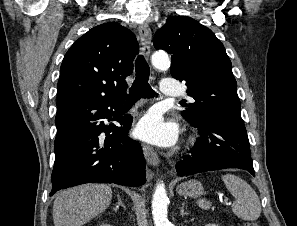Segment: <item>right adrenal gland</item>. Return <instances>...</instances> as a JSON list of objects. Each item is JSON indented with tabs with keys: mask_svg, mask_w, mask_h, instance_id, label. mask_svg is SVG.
Wrapping results in <instances>:
<instances>
[{
	"mask_svg": "<svg viewBox=\"0 0 297 226\" xmlns=\"http://www.w3.org/2000/svg\"><path fill=\"white\" fill-rule=\"evenodd\" d=\"M117 198H118V203L115 205V210H118L119 207H123L124 209H126V207L124 206L122 200H121V197H120V194H117Z\"/></svg>",
	"mask_w": 297,
	"mask_h": 226,
	"instance_id": "1",
	"label": "right adrenal gland"
}]
</instances>
